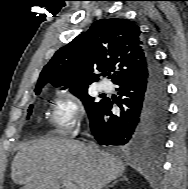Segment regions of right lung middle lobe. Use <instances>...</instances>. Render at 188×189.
I'll use <instances>...</instances> for the list:
<instances>
[{"label":"right lung middle lobe","instance_id":"1","mask_svg":"<svg viewBox=\"0 0 188 189\" xmlns=\"http://www.w3.org/2000/svg\"><path fill=\"white\" fill-rule=\"evenodd\" d=\"M87 89L88 88L70 89V91L83 101L88 116L91 119L95 112L98 110V108L101 106L103 100H101L100 102H95L94 98L88 95ZM39 93L40 91L36 92V95H38ZM32 108L33 106L30 105L28 110L29 115L32 113Z\"/></svg>","mask_w":188,"mask_h":189}]
</instances>
